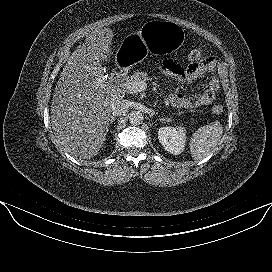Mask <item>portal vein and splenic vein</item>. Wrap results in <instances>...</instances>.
Masks as SVG:
<instances>
[{"label":"portal vein and splenic vein","instance_id":"obj_1","mask_svg":"<svg viewBox=\"0 0 272 272\" xmlns=\"http://www.w3.org/2000/svg\"><path fill=\"white\" fill-rule=\"evenodd\" d=\"M118 85L120 87H123L127 89L131 93H137V92H142L146 90L147 84L145 81H140V82H131V81H125V82H118Z\"/></svg>","mask_w":272,"mask_h":272}]
</instances>
